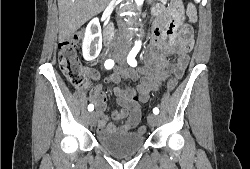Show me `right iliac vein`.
Segmentation results:
<instances>
[{
    "label": "right iliac vein",
    "instance_id": "63e3f726",
    "mask_svg": "<svg viewBox=\"0 0 250 169\" xmlns=\"http://www.w3.org/2000/svg\"><path fill=\"white\" fill-rule=\"evenodd\" d=\"M88 119L91 126H94L97 120L96 112L88 113Z\"/></svg>",
    "mask_w": 250,
    "mask_h": 169
}]
</instances>
